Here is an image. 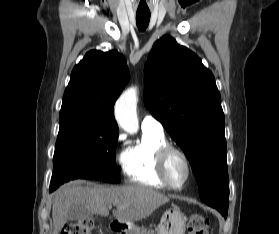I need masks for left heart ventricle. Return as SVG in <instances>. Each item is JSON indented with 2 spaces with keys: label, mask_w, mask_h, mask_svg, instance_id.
I'll return each instance as SVG.
<instances>
[{
  "label": "left heart ventricle",
  "mask_w": 279,
  "mask_h": 234,
  "mask_svg": "<svg viewBox=\"0 0 279 234\" xmlns=\"http://www.w3.org/2000/svg\"><path fill=\"white\" fill-rule=\"evenodd\" d=\"M167 175L175 185H180L186 176V166L178 154H171L167 162Z\"/></svg>",
  "instance_id": "obj_1"
}]
</instances>
